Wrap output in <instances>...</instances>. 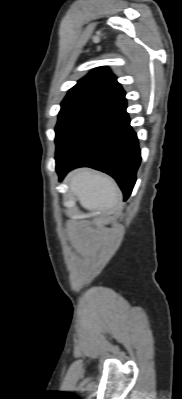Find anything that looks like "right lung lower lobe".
Listing matches in <instances>:
<instances>
[{"label":"right lung lower lobe","instance_id":"obj_1","mask_svg":"<svg viewBox=\"0 0 182 399\" xmlns=\"http://www.w3.org/2000/svg\"><path fill=\"white\" fill-rule=\"evenodd\" d=\"M55 159L60 180L74 168L92 167L112 176L126 200L135 184L141 155L125 97L106 104L77 124L57 145Z\"/></svg>","mask_w":182,"mask_h":399}]
</instances>
